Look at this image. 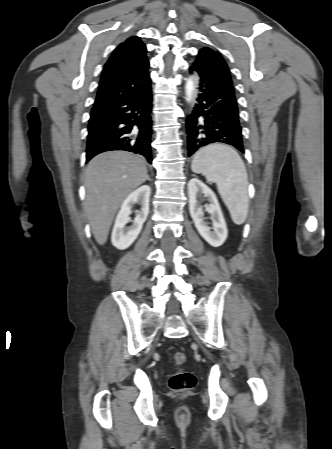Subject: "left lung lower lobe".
<instances>
[{"label":"left lung lower lobe","instance_id":"obj_1","mask_svg":"<svg viewBox=\"0 0 332 449\" xmlns=\"http://www.w3.org/2000/svg\"><path fill=\"white\" fill-rule=\"evenodd\" d=\"M189 70L199 93L186 122L188 156L211 143L229 144L244 153L233 85L206 66L193 63Z\"/></svg>","mask_w":332,"mask_h":449}]
</instances>
